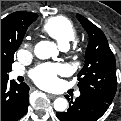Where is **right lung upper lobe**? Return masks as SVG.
Listing matches in <instances>:
<instances>
[{
	"label": "right lung upper lobe",
	"instance_id": "cb5924a9",
	"mask_svg": "<svg viewBox=\"0 0 121 121\" xmlns=\"http://www.w3.org/2000/svg\"><path fill=\"white\" fill-rule=\"evenodd\" d=\"M35 13L19 11L8 15L1 20V56L9 57L14 49L12 47L9 34L15 31L19 26L31 24L37 19Z\"/></svg>",
	"mask_w": 121,
	"mask_h": 121
}]
</instances>
